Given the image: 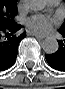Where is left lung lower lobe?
<instances>
[{"label": "left lung lower lobe", "mask_w": 65, "mask_h": 89, "mask_svg": "<svg viewBox=\"0 0 65 89\" xmlns=\"http://www.w3.org/2000/svg\"><path fill=\"white\" fill-rule=\"evenodd\" d=\"M64 37L63 40H59V49L53 54H46L45 58L48 64L55 70L65 71V32L59 30Z\"/></svg>", "instance_id": "left-lung-lower-lobe-1"}]
</instances>
